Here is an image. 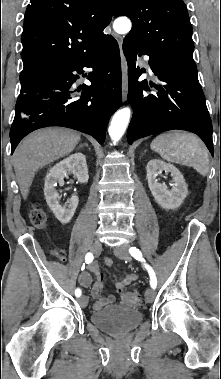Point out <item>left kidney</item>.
Listing matches in <instances>:
<instances>
[{
	"label": "left kidney",
	"mask_w": 221,
	"mask_h": 379,
	"mask_svg": "<svg viewBox=\"0 0 221 379\" xmlns=\"http://www.w3.org/2000/svg\"><path fill=\"white\" fill-rule=\"evenodd\" d=\"M148 186L155 201L164 209H176L180 207L188 194V189L183 175L173 165L159 159L150 160L147 164ZM165 171L171 173L174 184L168 189L165 183H159L157 175Z\"/></svg>",
	"instance_id": "left-kidney-1"
}]
</instances>
